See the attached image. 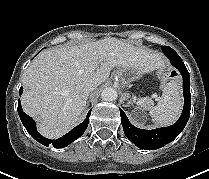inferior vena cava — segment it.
<instances>
[{
  "instance_id": "inferior-vena-cava-1",
  "label": "inferior vena cava",
  "mask_w": 209,
  "mask_h": 179,
  "mask_svg": "<svg viewBox=\"0 0 209 179\" xmlns=\"http://www.w3.org/2000/svg\"><path fill=\"white\" fill-rule=\"evenodd\" d=\"M95 89H96V85L90 84L84 89V92L88 96V94L94 91Z\"/></svg>"
}]
</instances>
